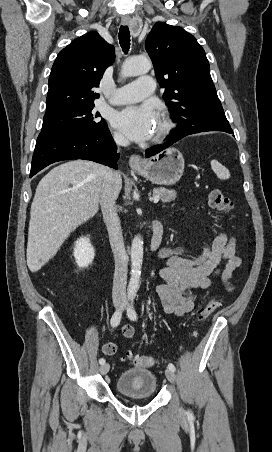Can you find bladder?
I'll return each mask as SVG.
<instances>
[{"mask_svg":"<svg viewBox=\"0 0 272 452\" xmlns=\"http://www.w3.org/2000/svg\"><path fill=\"white\" fill-rule=\"evenodd\" d=\"M117 391L130 397H153L157 392V378L147 368L123 371L116 380Z\"/></svg>","mask_w":272,"mask_h":452,"instance_id":"obj_1","label":"bladder"}]
</instances>
